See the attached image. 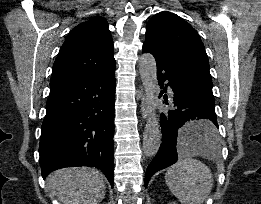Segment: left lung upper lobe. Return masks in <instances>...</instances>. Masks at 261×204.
<instances>
[{"label": "left lung upper lobe", "mask_w": 261, "mask_h": 204, "mask_svg": "<svg viewBox=\"0 0 261 204\" xmlns=\"http://www.w3.org/2000/svg\"><path fill=\"white\" fill-rule=\"evenodd\" d=\"M143 47L212 85L209 61L197 31L176 14L164 11L154 15L147 24Z\"/></svg>", "instance_id": "1"}]
</instances>
